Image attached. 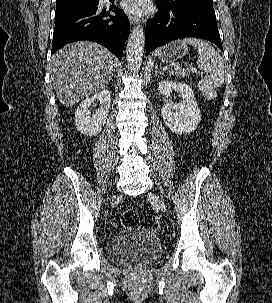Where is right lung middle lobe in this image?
<instances>
[{
	"mask_svg": "<svg viewBox=\"0 0 272 303\" xmlns=\"http://www.w3.org/2000/svg\"><path fill=\"white\" fill-rule=\"evenodd\" d=\"M99 4V0H75L56 4L55 17L65 15L70 12L94 8Z\"/></svg>",
	"mask_w": 272,
	"mask_h": 303,
	"instance_id": "1",
	"label": "right lung middle lobe"
}]
</instances>
